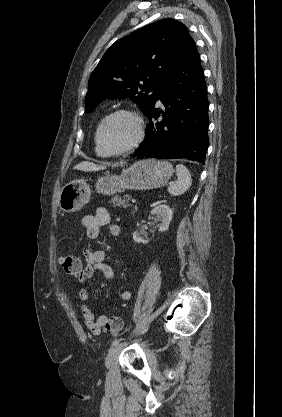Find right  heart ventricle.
I'll list each match as a JSON object with an SVG mask.
<instances>
[{
    "mask_svg": "<svg viewBox=\"0 0 282 417\" xmlns=\"http://www.w3.org/2000/svg\"><path fill=\"white\" fill-rule=\"evenodd\" d=\"M98 135H99V129H98V131H97L96 140H98ZM97 151H98L100 154H103V152L101 151V149H100V148H99V146H98V143H97Z\"/></svg>",
    "mask_w": 282,
    "mask_h": 417,
    "instance_id": "1",
    "label": "right heart ventricle"
}]
</instances>
